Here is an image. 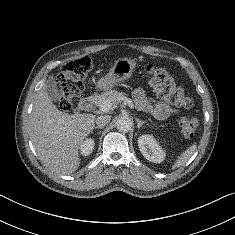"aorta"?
<instances>
[{
	"label": "aorta",
	"mask_w": 235,
	"mask_h": 235,
	"mask_svg": "<svg viewBox=\"0 0 235 235\" xmlns=\"http://www.w3.org/2000/svg\"><path fill=\"white\" fill-rule=\"evenodd\" d=\"M117 129L120 132H128L132 128V122L129 118L122 117L117 120Z\"/></svg>",
	"instance_id": "1"
}]
</instances>
